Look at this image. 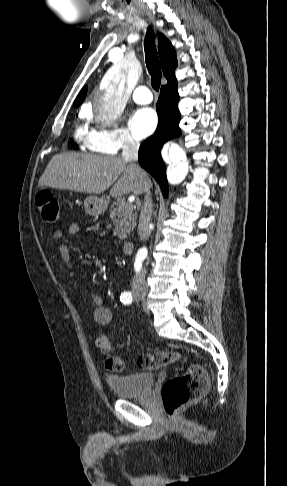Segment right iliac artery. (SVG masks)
<instances>
[{
  "mask_svg": "<svg viewBox=\"0 0 287 486\" xmlns=\"http://www.w3.org/2000/svg\"><path fill=\"white\" fill-rule=\"evenodd\" d=\"M121 300H132L131 292H123L120 297Z\"/></svg>",
  "mask_w": 287,
  "mask_h": 486,
  "instance_id": "obj_1",
  "label": "right iliac artery"
}]
</instances>
